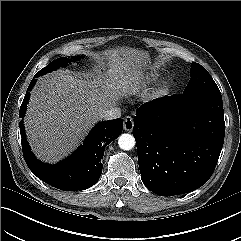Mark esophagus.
Instances as JSON below:
<instances>
[{"label": "esophagus", "instance_id": "obj_1", "mask_svg": "<svg viewBox=\"0 0 241 241\" xmlns=\"http://www.w3.org/2000/svg\"><path fill=\"white\" fill-rule=\"evenodd\" d=\"M133 127H134L133 118L131 116H126L124 118V129L128 132H131L133 130Z\"/></svg>", "mask_w": 241, "mask_h": 241}]
</instances>
